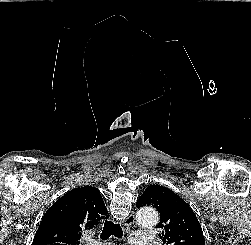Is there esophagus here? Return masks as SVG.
Segmentation results:
<instances>
[{
    "label": "esophagus",
    "instance_id": "34e87169",
    "mask_svg": "<svg viewBox=\"0 0 251 245\" xmlns=\"http://www.w3.org/2000/svg\"><path fill=\"white\" fill-rule=\"evenodd\" d=\"M135 223V215L134 212H132L124 221L125 226H131Z\"/></svg>",
    "mask_w": 251,
    "mask_h": 245
}]
</instances>
